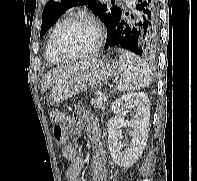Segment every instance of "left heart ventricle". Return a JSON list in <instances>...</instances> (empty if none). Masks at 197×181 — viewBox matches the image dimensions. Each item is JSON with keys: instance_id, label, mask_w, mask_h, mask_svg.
Segmentation results:
<instances>
[{"instance_id": "left-heart-ventricle-1", "label": "left heart ventricle", "mask_w": 197, "mask_h": 181, "mask_svg": "<svg viewBox=\"0 0 197 181\" xmlns=\"http://www.w3.org/2000/svg\"><path fill=\"white\" fill-rule=\"evenodd\" d=\"M96 42L94 28L85 23L70 27L60 42L61 51L64 56L72 57L91 50Z\"/></svg>"}]
</instances>
